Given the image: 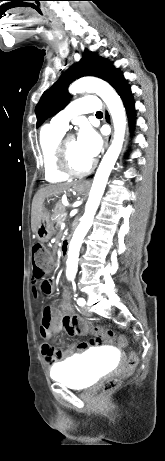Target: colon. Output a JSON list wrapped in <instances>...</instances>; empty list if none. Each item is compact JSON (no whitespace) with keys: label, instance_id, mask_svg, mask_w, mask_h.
<instances>
[{"label":"colon","instance_id":"colon-1","mask_svg":"<svg viewBox=\"0 0 165 461\" xmlns=\"http://www.w3.org/2000/svg\"><path fill=\"white\" fill-rule=\"evenodd\" d=\"M32 267V275L33 278L36 280L41 279L44 276V274L51 268V259L49 256V252L43 244H35L32 248ZM98 332H101L103 334V337L115 341L121 347H124L127 344L125 336L117 335L112 330H103L101 328L93 329L94 334ZM137 363V354L135 352H131L129 354L123 377L129 376L134 371ZM120 382L121 378H111L105 382L104 390L112 391L120 385Z\"/></svg>","mask_w":165,"mask_h":461}]
</instances>
